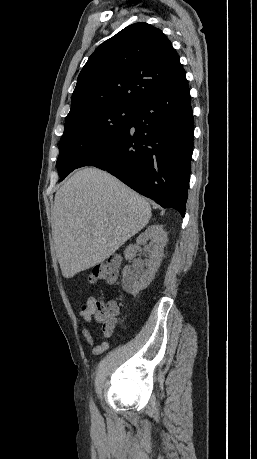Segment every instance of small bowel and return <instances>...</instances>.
<instances>
[{
  "label": "small bowel",
  "mask_w": 257,
  "mask_h": 459,
  "mask_svg": "<svg viewBox=\"0 0 257 459\" xmlns=\"http://www.w3.org/2000/svg\"><path fill=\"white\" fill-rule=\"evenodd\" d=\"M87 302L88 303H94L95 302V297L94 296L88 297ZM109 304H110V306L112 308V312L106 319L100 318L98 315H95V312L92 311V310H81L79 312V316L84 321L90 323V322H92L93 319H95L98 323L102 324V342L99 345L94 346L92 348L91 353H92L93 356H98V355L102 354L103 352H105L108 349L109 344H108L107 340L112 335V332H113V330L115 328V325H116V322H117V318L116 317L119 314V306H118L117 302H115V301H110ZM82 336H83V338L85 339L86 343L89 346L93 345V337H92L90 331L86 327L82 328Z\"/></svg>",
  "instance_id": "1"
}]
</instances>
